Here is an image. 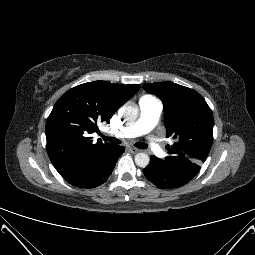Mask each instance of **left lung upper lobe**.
I'll return each mask as SVG.
<instances>
[{
  "label": "left lung upper lobe",
  "mask_w": 255,
  "mask_h": 255,
  "mask_svg": "<svg viewBox=\"0 0 255 255\" xmlns=\"http://www.w3.org/2000/svg\"><path fill=\"white\" fill-rule=\"evenodd\" d=\"M164 105L169 156L160 162L181 173L195 176L205 162L213 141V115L204 98L195 90L172 82L145 84Z\"/></svg>",
  "instance_id": "left-lung-upper-lobe-1"
}]
</instances>
